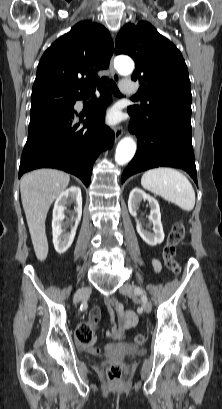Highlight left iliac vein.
Masks as SVG:
<instances>
[{"mask_svg":"<svg viewBox=\"0 0 222 409\" xmlns=\"http://www.w3.org/2000/svg\"><path fill=\"white\" fill-rule=\"evenodd\" d=\"M135 286L131 285L129 283H125L120 287V293H122L123 295L129 296L131 298H136V294H135ZM141 306L143 308V310L147 313H150L152 310V305L150 303V301L148 300L147 296L144 294V292L142 291L141 293V300H140Z\"/></svg>","mask_w":222,"mask_h":409,"instance_id":"left-iliac-vein-1","label":"left iliac vein"}]
</instances>
